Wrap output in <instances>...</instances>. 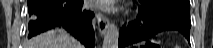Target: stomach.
Wrapping results in <instances>:
<instances>
[{"label":"stomach","instance_id":"obj_1","mask_svg":"<svg viewBox=\"0 0 213 48\" xmlns=\"http://www.w3.org/2000/svg\"><path fill=\"white\" fill-rule=\"evenodd\" d=\"M143 44H145V42H144ZM140 46H143V45H137L138 48H139Z\"/></svg>","mask_w":213,"mask_h":48}]
</instances>
